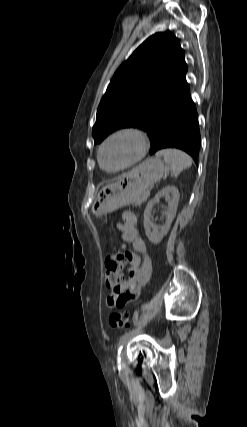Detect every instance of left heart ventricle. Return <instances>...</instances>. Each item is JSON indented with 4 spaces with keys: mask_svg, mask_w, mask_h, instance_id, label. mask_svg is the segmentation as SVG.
Masks as SVG:
<instances>
[{
    "mask_svg": "<svg viewBox=\"0 0 247 427\" xmlns=\"http://www.w3.org/2000/svg\"><path fill=\"white\" fill-rule=\"evenodd\" d=\"M138 152V142L132 135H122L110 141L102 151L107 169L119 168L131 161Z\"/></svg>",
    "mask_w": 247,
    "mask_h": 427,
    "instance_id": "b2bd125f",
    "label": "left heart ventricle"
}]
</instances>
